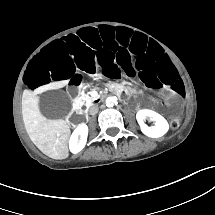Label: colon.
I'll use <instances>...</instances> for the list:
<instances>
[{"label": "colon", "mask_w": 215, "mask_h": 215, "mask_svg": "<svg viewBox=\"0 0 215 215\" xmlns=\"http://www.w3.org/2000/svg\"><path fill=\"white\" fill-rule=\"evenodd\" d=\"M170 126L173 129H177L180 126V120L177 118H173L170 122Z\"/></svg>", "instance_id": "obj_1"}]
</instances>
